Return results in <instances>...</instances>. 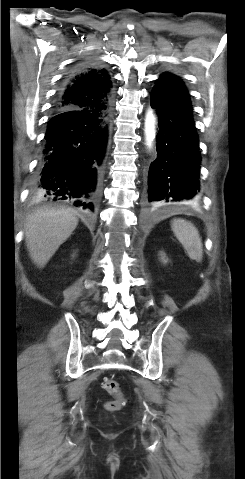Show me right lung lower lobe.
<instances>
[{"label": "right lung lower lobe", "mask_w": 245, "mask_h": 479, "mask_svg": "<svg viewBox=\"0 0 245 479\" xmlns=\"http://www.w3.org/2000/svg\"><path fill=\"white\" fill-rule=\"evenodd\" d=\"M88 66H79L71 75ZM111 107L112 99L87 108L54 110L32 185L36 199L93 211L100 196Z\"/></svg>", "instance_id": "1"}]
</instances>
